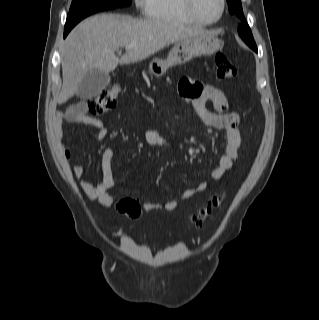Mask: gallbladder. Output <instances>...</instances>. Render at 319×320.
Segmentation results:
<instances>
[{
  "mask_svg": "<svg viewBox=\"0 0 319 320\" xmlns=\"http://www.w3.org/2000/svg\"><path fill=\"white\" fill-rule=\"evenodd\" d=\"M110 83L108 73L92 70L82 79L76 95L81 99H92L99 95Z\"/></svg>",
  "mask_w": 319,
  "mask_h": 320,
  "instance_id": "bac80fb5",
  "label": "gallbladder"
}]
</instances>
